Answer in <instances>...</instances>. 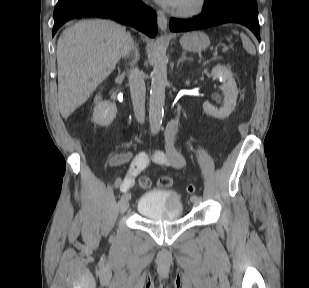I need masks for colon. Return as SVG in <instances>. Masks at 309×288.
<instances>
[{
    "label": "colon",
    "instance_id": "5ec220e1",
    "mask_svg": "<svg viewBox=\"0 0 309 288\" xmlns=\"http://www.w3.org/2000/svg\"><path fill=\"white\" fill-rule=\"evenodd\" d=\"M141 187H148L151 184V180L148 177H142L139 180ZM157 186L161 188L170 187L173 184V179L168 176H161L156 180ZM186 191L189 195H193L196 191V187L193 183H190L186 186Z\"/></svg>",
    "mask_w": 309,
    "mask_h": 288
}]
</instances>
